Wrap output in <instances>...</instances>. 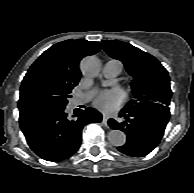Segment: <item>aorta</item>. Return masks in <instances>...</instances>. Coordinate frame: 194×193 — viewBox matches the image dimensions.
I'll list each match as a JSON object with an SVG mask.
<instances>
[{"label":"aorta","mask_w":194,"mask_h":193,"mask_svg":"<svg viewBox=\"0 0 194 193\" xmlns=\"http://www.w3.org/2000/svg\"><path fill=\"white\" fill-rule=\"evenodd\" d=\"M80 68L85 76L96 77L101 70V64L95 56H87L81 61ZM108 140L113 146H123L126 135L121 130L113 129L108 133Z\"/></svg>","instance_id":"aorta-1"}]
</instances>
